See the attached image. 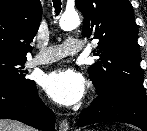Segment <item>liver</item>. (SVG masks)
<instances>
[{"mask_svg": "<svg viewBox=\"0 0 147 131\" xmlns=\"http://www.w3.org/2000/svg\"><path fill=\"white\" fill-rule=\"evenodd\" d=\"M0 131H34V130L18 121L0 119Z\"/></svg>", "mask_w": 147, "mask_h": 131, "instance_id": "liver-1", "label": "liver"}]
</instances>
